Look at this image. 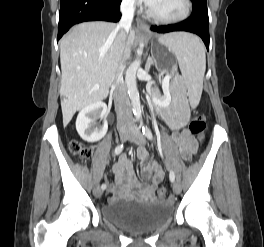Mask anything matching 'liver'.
I'll return each mask as SVG.
<instances>
[{"mask_svg": "<svg viewBox=\"0 0 264 247\" xmlns=\"http://www.w3.org/2000/svg\"><path fill=\"white\" fill-rule=\"evenodd\" d=\"M173 34H169L171 36ZM135 32L125 33L120 25L84 22L75 25L60 41V95L63 125L76 111L108 96L120 59V44L125 60L130 57Z\"/></svg>", "mask_w": 264, "mask_h": 247, "instance_id": "obj_1", "label": "liver"}]
</instances>
